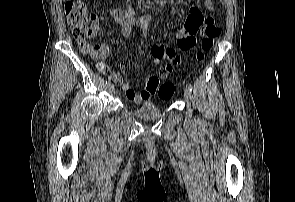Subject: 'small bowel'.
<instances>
[{
    "label": "small bowel",
    "instance_id": "c3829d8e",
    "mask_svg": "<svg viewBox=\"0 0 295 202\" xmlns=\"http://www.w3.org/2000/svg\"><path fill=\"white\" fill-rule=\"evenodd\" d=\"M204 8L210 13L209 15H204L199 6H191L184 27L174 31L173 40L177 48L186 51L193 49L196 42L195 36L199 29L203 26L206 27L208 23H214L215 19L213 15H211L214 11L213 1L204 0ZM109 14L112 20L121 26V33L124 37L127 38L131 35L132 28L135 25L139 28L140 35L143 38L146 37V27L149 21L148 15L135 17L131 10L122 8H112ZM90 17L93 23L98 22L99 16L96 12L91 13ZM90 49L93 50L89 51ZM82 51L92 53L95 59H105L111 53V49L106 45H89L83 48ZM151 56L153 63L156 65L161 64L163 61L166 62L165 66L160 71V77L163 79L167 78L174 66L180 62V57L175 47H166L163 44L152 43ZM126 67L127 64L122 63V68L126 69ZM101 69L113 82L121 84L123 91L133 103L139 104L146 101L156 92V90H146V88L140 92H135L128 83L122 81V77L119 73L113 72L109 68L103 66H101ZM153 76L155 75H147L146 79H151Z\"/></svg>",
    "mask_w": 295,
    "mask_h": 202
}]
</instances>
